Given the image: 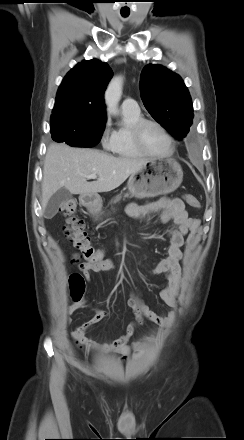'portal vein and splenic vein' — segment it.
Here are the masks:
<instances>
[{
  "label": "portal vein and splenic vein",
  "mask_w": 244,
  "mask_h": 440,
  "mask_svg": "<svg viewBox=\"0 0 244 440\" xmlns=\"http://www.w3.org/2000/svg\"><path fill=\"white\" fill-rule=\"evenodd\" d=\"M87 179H97V176L95 174H91L87 176Z\"/></svg>",
  "instance_id": "obj_1"
}]
</instances>
